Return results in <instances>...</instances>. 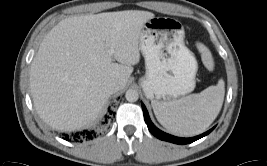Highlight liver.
I'll use <instances>...</instances> for the list:
<instances>
[{
	"mask_svg": "<svg viewBox=\"0 0 267 166\" xmlns=\"http://www.w3.org/2000/svg\"><path fill=\"white\" fill-rule=\"evenodd\" d=\"M155 15L126 10L68 17L41 42L30 70V89L40 117L57 130L91 124L110 94L123 89L140 61L139 39ZM116 60L118 63L113 62Z\"/></svg>",
	"mask_w": 267,
	"mask_h": 166,
	"instance_id": "obj_1",
	"label": "liver"
}]
</instances>
